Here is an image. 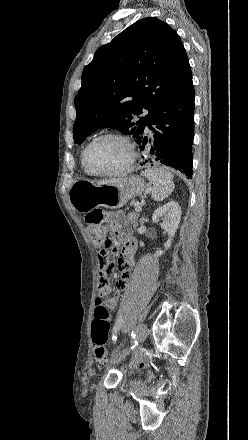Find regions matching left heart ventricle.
I'll use <instances>...</instances> for the list:
<instances>
[{
    "mask_svg": "<svg viewBox=\"0 0 248 440\" xmlns=\"http://www.w3.org/2000/svg\"><path fill=\"white\" fill-rule=\"evenodd\" d=\"M129 158L127 145L117 138H105L95 143L89 151L88 162L96 172H113L122 169Z\"/></svg>",
    "mask_w": 248,
    "mask_h": 440,
    "instance_id": "1",
    "label": "left heart ventricle"
}]
</instances>
